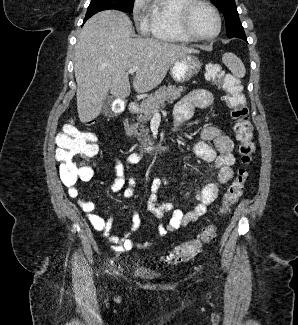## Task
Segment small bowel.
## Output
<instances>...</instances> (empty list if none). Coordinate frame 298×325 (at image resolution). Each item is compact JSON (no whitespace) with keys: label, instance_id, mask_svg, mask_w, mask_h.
<instances>
[{"label":"small bowel","instance_id":"obj_1","mask_svg":"<svg viewBox=\"0 0 298 325\" xmlns=\"http://www.w3.org/2000/svg\"><path fill=\"white\" fill-rule=\"evenodd\" d=\"M214 103V96L207 90L196 89L190 92L176 105L174 111V130L176 131L181 124L192 117L195 107L212 110ZM208 142H213L214 146H211ZM232 151V139L219 128L209 125L202 129L201 141L194 145L192 154L206 162L213 163L218 174L216 181L205 182L199 187L195 195L194 208L188 213H184L182 210L175 208L170 202H159L158 192L162 186L167 184V179L165 177H157L152 180L150 194L146 202L148 210L160 220L166 219L167 213H171L166 223L161 222L158 225L159 237H163L169 232H174L197 221L206 213L207 207L216 200L221 185L229 183L234 176L232 167L235 164V157ZM189 157L187 156L186 159H189ZM142 158L143 154L134 152L129 154L124 161L116 160V178L111 184V190L113 192H122L126 198L133 196L136 180L132 176H127V174L131 172L133 166L138 164ZM68 192L71 197H77L79 189L76 185L70 186L68 187ZM78 203L86 214L91 226L100 232L103 238L112 243V248L115 252L122 253L130 251L134 247L148 248L152 245L153 241L136 244L131 238V235L141 227V218L138 212L135 211L132 215L130 231L122 238H118L110 234L112 219L105 220L96 214V205L94 202L80 199Z\"/></svg>","mask_w":298,"mask_h":325}]
</instances>
